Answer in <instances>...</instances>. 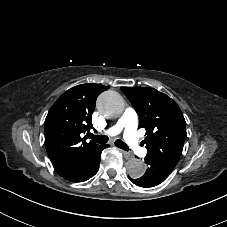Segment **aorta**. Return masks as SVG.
Wrapping results in <instances>:
<instances>
[{
  "label": "aorta",
  "mask_w": 227,
  "mask_h": 227,
  "mask_svg": "<svg viewBox=\"0 0 227 227\" xmlns=\"http://www.w3.org/2000/svg\"><path fill=\"white\" fill-rule=\"evenodd\" d=\"M124 100L115 91L103 92L97 100V108L105 117H114L124 111ZM127 173L132 178H140L145 174L146 165L137 158L130 159L126 164Z\"/></svg>",
  "instance_id": "762f6f07"
}]
</instances>
